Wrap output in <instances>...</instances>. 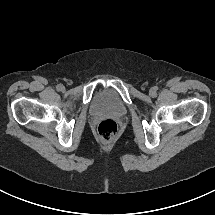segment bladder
<instances>
[{"label":"bladder","instance_id":"1","mask_svg":"<svg viewBox=\"0 0 215 215\" xmlns=\"http://www.w3.org/2000/svg\"><path fill=\"white\" fill-rule=\"evenodd\" d=\"M90 110L95 115L110 114L124 116L127 107L120 96L111 89H101L92 98Z\"/></svg>","mask_w":215,"mask_h":215}]
</instances>
